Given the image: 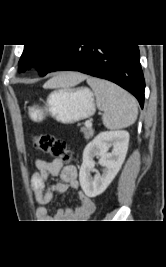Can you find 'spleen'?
<instances>
[{
  "mask_svg": "<svg viewBox=\"0 0 166 267\" xmlns=\"http://www.w3.org/2000/svg\"><path fill=\"white\" fill-rule=\"evenodd\" d=\"M96 95L97 107L103 111V124L109 129L132 125L138 115L137 101L117 85L98 78L87 79Z\"/></svg>",
  "mask_w": 166,
  "mask_h": 267,
  "instance_id": "obj_1",
  "label": "spleen"
}]
</instances>
